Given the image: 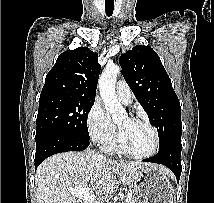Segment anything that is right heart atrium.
<instances>
[{
	"instance_id": "d8ad5b80",
	"label": "right heart atrium",
	"mask_w": 214,
	"mask_h": 203,
	"mask_svg": "<svg viewBox=\"0 0 214 203\" xmlns=\"http://www.w3.org/2000/svg\"><path fill=\"white\" fill-rule=\"evenodd\" d=\"M86 126L90 137L99 144L106 146L115 139L116 126L99 101L92 104L87 114Z\"/></svg>"
}]
</instances>
